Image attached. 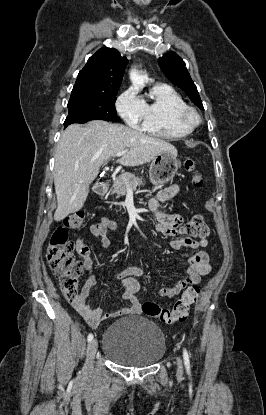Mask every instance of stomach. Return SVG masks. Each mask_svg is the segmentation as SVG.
<instances>
[{
    "instance_id": "1",
    "label": "stomach",
    "mask_w": 266,
    "mask_h": 415,
    "mask_svg": "<svg viewBox=\"0 0 266 415\" xmlns=\"http://www.w3.org/2000/svg\"><path fill=\"white\" fill-rule=\"evenodd\" d=\"M176 156L170 151H162L153 158L149 169L152 184H164L174 177L179 166Z\"/></svg>"
}]
</instances>
